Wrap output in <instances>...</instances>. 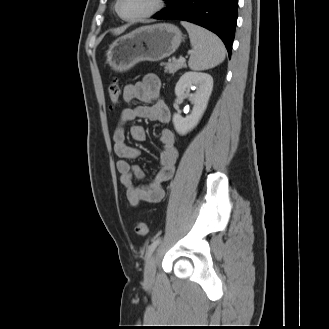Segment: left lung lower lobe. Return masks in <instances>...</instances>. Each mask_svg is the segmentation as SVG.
I'll use <instances>...</instances> for the list:
<instances>
[{"instance_id":"0a47b994","label":"left lung lower lobe","mask_w":329,"mask_h":329,"mask_svg":"<svg viewBox=\"0 0 329 329\" xmlns=\"http://www.w3.org/2000/svg\"><path fill=\"white\" fill-rule=\"evenodd\" d=\"M168 6L155 19L183 20L202 26L218 35L229 56L235 36L238 0H166Z\"/></svg>"}]
</instances>
